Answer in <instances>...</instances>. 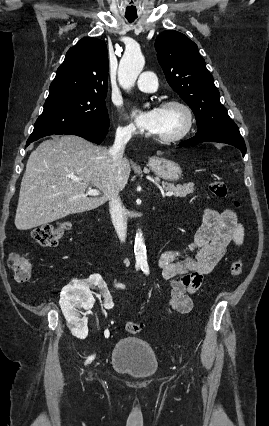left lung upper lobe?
<instances>
[{
  "label": "left lung upper lobe",
  "instance_id": "left-lung-upper-lobe-1",
  "mask_svg": "<svg viewBox=\"0 0 269 426\" xmlns=\"http://www.w3.org/2000/svg\"><path fill=\"white\" fill-rule=\"evenodd\" d=\"M155 49L167 82L192 109L198 128L230 120L193 41L178 31L166 30L157 36Z\"/></svg>",
  "mask_w": 269,
  "mask_h": 426
}]
</instances>
